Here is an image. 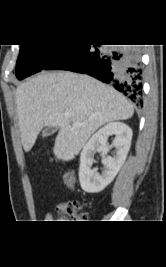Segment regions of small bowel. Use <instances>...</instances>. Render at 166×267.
<instances>
[{"instance_id": "c3829d8e", "label": "small bowel", "mask_w": 166, "mask_h": 267, "mask_svg": "<svg viewBox=\"0 0 166 267\" xmlns=\"http://www.w3.org/2000/svg\"><path fill=\"white\" fill-rule=\"evenodd\" d=\"M74 185H75V182H74V180H73V181H71L70 183H68L67 186L70 187V188H73ZM44 219H45V222H52V221H53V215H52L50 212H47V213L45 214Z\"/></svg>"}]
</instances>
